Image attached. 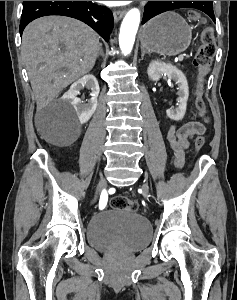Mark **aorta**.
Returning <instances> with one entry per match:
<instances>
[{
	"instance_id": "1",
	"label": "aorta",
	"mask_w": 237,
	"mask_h": 300,
	"mask_svg": "<svg viewBox=\"0 0 237 300\" xmlns=\"http://www.w3.org/2000/svg\"><path fill=\"white\" fill-rule=\"evenodd\" d=\"M140 23L139 9H131L125 15L119 33V47L123 55H130Z\"/></svg>"
}]
</instances>
